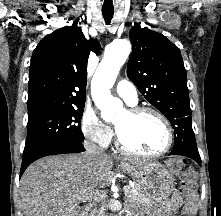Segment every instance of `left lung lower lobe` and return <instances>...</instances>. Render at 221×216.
Segmentation results:
<instances>
[{
	"mask_svg": "<svg viewBox=\"0 0 221 216\" xmlns=\"http://www.w3.org/2000/svg\"><path fill=\"white\" fill-rule=\"evenodd\" d=\"M169 155H183V156H187V157L195 160L201 166L200 155L195 153V152H193L188 147H186V148L177 147V148L173 149Z\"/></svg>",
	"mask_w": 221,
	"mask_h": 216,
	"instance_id": "obj_1",
	"label": "left lung lower lobe"
}]
</instances>
